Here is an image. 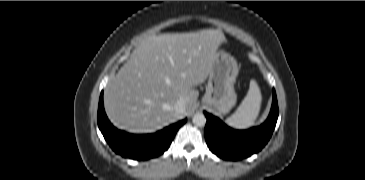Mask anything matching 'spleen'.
Masks as SVG:
<instances>
[{"label":"spleen","mask_w":365,"mask_h":180,"mask_svg":"<svg viewBox=\"0 0 365 180\" xmlns=\"http://www.w3.org/2000/svg\"><path fill=\"white\" fill-rule=\"evenodd\" d=\"M262 95L255 80L250 81L248 93L234 114L226 123L236 129H246L254 125L261 109Z\"/></svg>","instance_id":"3e777b00"}]
</instances>
